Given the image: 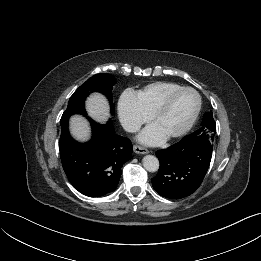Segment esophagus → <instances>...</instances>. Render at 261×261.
Masks as SVG:
<instances>
[{
    "instance_id": "esophagus-1",
    "label": "esophagus",
    "mask_w": 261,
    "mask_h": 261,
    "mask_svg": "<svg viewBox=\"0 0 261 261\" xmlns=\"http://www.w3.org/2000/svg\"><path fill=\"white\" fill-rule=\"evenodd\" d=\"M133 150L137 154H147L148 153V150L146 148L139 146V145H134Z\"/></svg>"
}]
</instances>
